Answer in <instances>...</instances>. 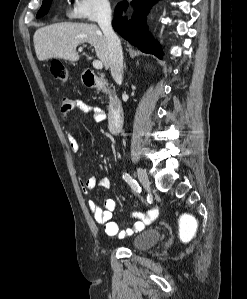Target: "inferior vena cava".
I'll use <instances>...</instances> for the list:
<instances>
[{"mask_svg": "<svg viewBox=\"0 0 247 299\" xmlns=\"http://www.w3.org/2000/svg\"><path fill=\"white\" fill-rule=\"evenodd\" d=\"M97 22L108 43L110 71L117 83L123 79V52L119 38L112 28V11L110 5H102L99 9Z\"/></svg>", "mask_w": 247, "mask_h": 299, "instance_id": "602c4592", "label": "inferior vena cava"}]
</instances>
